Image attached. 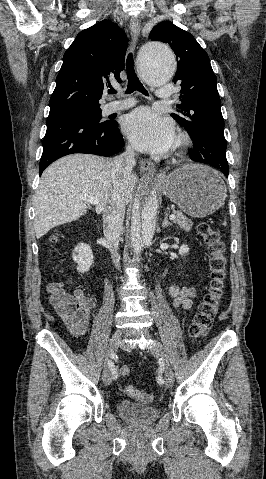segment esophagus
Segmentation results:
<instances>
[{
	"instance_id": "1",
	"label": "esophagus",
	"mask_w": 266,
	"mask_h": 479,
	"mask_svg": "<svg viewBox=\"0 0 266 479\" xmlns=\"http://www.w3.org/2000/svg\"><path fill=\"white\" fill-rule=\"evenodd\" d=\"M130 33L132 37L133 48H136L140 36V23L136 17H132L130 20ZM139 168L141 172L147 173L149 175H155V167L149 160L140 159ZM157 177L159 178V176Z\"/></svg>"
}]
</instances>
